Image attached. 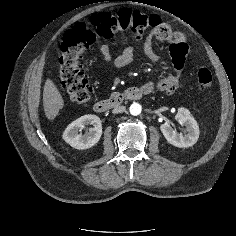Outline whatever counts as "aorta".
I'll return each instance as SVG.
<instances>
[{
  "label": "aorta",
  "mask_w": 236,
  "mask_h": 236,
  "mask_svg": "<svg viewBox=\"0 0 236 236\" xmlns=\"http://www.w3.org/2000/svg\"><path fill=\"white\" fill-rule=\"evenodd\" d=\"M130 113L131 115L133 116H137L141 113L142 111V106L138 103H133L131 106H130Z\"/></svg>",
  "instance_id": "aorta-1"
}]
</instances>
